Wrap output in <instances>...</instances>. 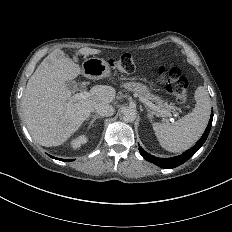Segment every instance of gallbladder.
<instances>
[{"label":"gallbladder","mask_w":232,"mask_h":232,"mask_svg":"<svg viewBox=\"0 0 232 232\" xmlns=\"http://www.w3.org/2000/svg\"><path fill=\"white\" fill-rule=\"evenodd\" d=\"M66 86L69 90H80L83 91L85 89V85L83 83H76L73 80H69L66 82Z\"/></svg>","instance_id":"1"}]
</instances>
